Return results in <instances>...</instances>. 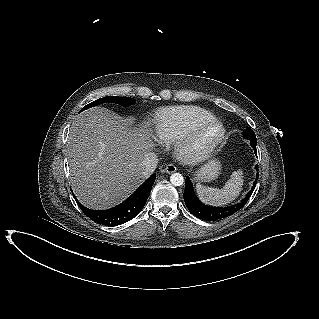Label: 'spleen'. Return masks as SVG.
<instances>
[{"label": "spleen", "instance_id": "spleen-1", "mask_svg": "<svg viewBox=\"0 0 319 319\" xmlns=\"http://www.w3.org/2000/svg\"><path fill=\"white\" fill-rule=\"evenodd\" d=\"M244 173L241 169L232 172L230 179L221 189L206 187L201 184L196 186L197 194L202 202L210 205H226L235 200L244 185Z\"/></svg>", "mask_w": 319, "mask_h": 319}]
</instances>
